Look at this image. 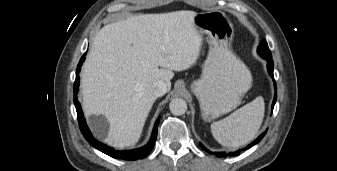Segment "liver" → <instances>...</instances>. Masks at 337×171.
I'll list each match as a JSON object with an SVG mask.
<instances>
[{
  "instance_id": "liver-1",
  "label": "liver",
  "mask_w": 337,
  "mask_h": 171,
  "mask_svg": "<svg viewBox=\"0 0 337 171\" xmlns=\"http://www.w3.org/2000/svg\"><path fill=\"white\" fill-rule=\"evenodd\" d=\"M194 11L140 14L108 24L94 37L81 72L85 115H103L109 146L125 148L139 140L156 100L153 83L171 88L173 71L198 59L202 37Z\"/></svg>"
}]
</instances>
